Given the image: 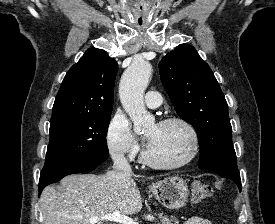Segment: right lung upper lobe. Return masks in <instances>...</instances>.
Instances as JSON below:
<instances>
[{
  "instance_id": "obj_1",
  "label": "right lung upper lobe",
  "mask_w": 275,
  "mask_h": 224,
  "mask_svg": "<svg viewBox=\"0 0 275 224\" xmlns=\"http://www.w3.org/2000/svg\"><path fill=\"white\" fill-rule=\"evenodd\" d=\"M117 70V62L105 50L88 49L64 77L52 117L111 113Z\"/></svg>"
}]
</instances>
